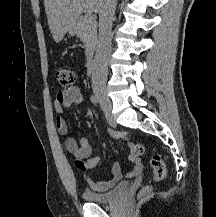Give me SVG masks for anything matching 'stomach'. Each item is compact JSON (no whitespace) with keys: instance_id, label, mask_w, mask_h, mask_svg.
Segmentation results:
<instances>
[{"instance_id":"1","label":"stomach","mask_w":216,"mask_h":217,"mask_svg":"<svg viewBox=\"0 0 216 217\" xmlns=\"http://www.w3.org/2000/svg\"><path fill=\"white\" fill-rule=\"evenodd\" d=\"M69 34L70 35H74L76 33V26H73L71 27L69 30H68Z\"/></svg>"}]
</instances>
